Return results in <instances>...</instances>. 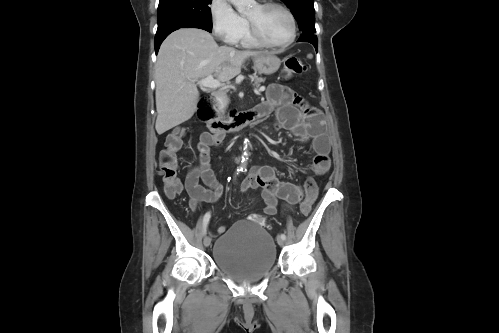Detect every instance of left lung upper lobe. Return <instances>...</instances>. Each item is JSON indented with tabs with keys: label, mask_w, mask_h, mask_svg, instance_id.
I'll list each match as a JSON object with an SVG mask.
<instances>
[{
	"label": "left lung upper lobe",
	"mask_w": 499,
	"mask_h": 333,
	"mask_svg": "<svg viewBox=\"0 0 499 333\" xmlns=\"http://www.w3.org/2000/svg\"><path fill=\"white\" fill-rule=\"evenodd\" d=\"M292 11L302 33L315 34L314 0H282Z\"/></svg>",
	"instance_id": "1"
}]
</instances>
